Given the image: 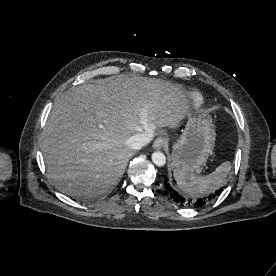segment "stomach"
<instances>
[{"mask_svg":"<svg viewBox=\"0 0 276 276\" xmlns=\"http://www.w3.org/2000/svg\"><path fill=\"white\" fill-rule=\"evenodd\" d=\"M215 136L209 115H189L185 129L173 145L170 159L174 170L201 172L213 152Z\"/></svg>","mask_w":276,"mask_h":276,"instance_id":"stomach-1","label":"stomach"}]
</instances>
